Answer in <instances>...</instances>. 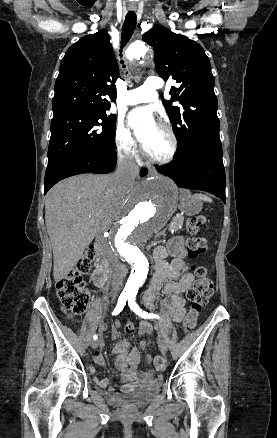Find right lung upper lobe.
<instances>
[{
    "instance_id": "obj_1",
    "label": "right lung upper lobe",
    "mask_w": 277,
    "mask_h": 438,
    "mask_svg": "<svg viewBox=\"0 0 277 438\" xmlns=\"http://www.w3.org/2000/svg\"><path fill=\"white\" fill-rule=\"evenodd\" d=\"M118 65L106 30L82 37L61 61L53 116L106 113L117 97Z\"/></svg>"
}]
</instances>
